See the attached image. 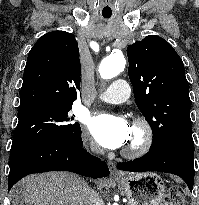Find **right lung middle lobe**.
Wrapping results in <instances>:
<instances>
[{
	"label": "right lung middle lobe",
	"mask_w": 199,
	"mask_h": 205,
	"mask_svg": "<svg viewBox=\"0 0 199 205\" xmlns=\"http://www.w3.org/2000/svg\"><path fill=\"white\" fill-rule=\"evenodd\" d=\"M72 104L37 106L19 111L10 154L36 144L65 139H81L78 122L73 123L69 111Z\"/></svg>",
	"instance_id": "right-lung-middle-lobe-1"
}]
</instances>
